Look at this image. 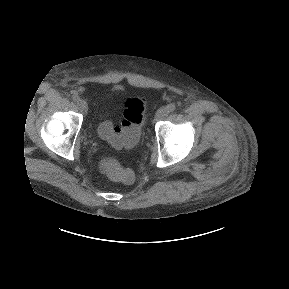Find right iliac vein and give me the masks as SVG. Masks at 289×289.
Returning <instances> with one entry per match:
<instances>
[{"instance_id": "1", "label": "right iliac vein", "mask_w": 289, "mask_h": 289, "mask_svg": "<svg viewBox=\"0 0 289 289\" xmlns=\"http://www.w3.org/2000/svg\"><path fill=\"white\" fill-rule=\"evenodd\" d=\"M77 105H78V108L81 110V112L87 113V111H88V105H87L86 101H84L83 99H80V100L77 102Z\"/></svg>"}]
</instances>
